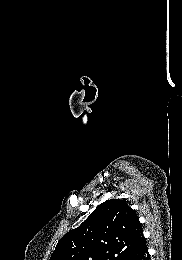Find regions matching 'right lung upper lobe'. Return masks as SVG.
Wrapping results in <instances>:
<instances>
[{"mask_svg":"<svg viewBox=\"0 0 182 260\" xmlns=\"http://www.w3.org/2000/svg\"><path fill=\"white\" fill-rule=\"evenodd\" d=\"M146 241L141 223L124 200H107L57 243L50 260H123Z\"/></svg>","mask_w":182,"mask_h":260,"instance_id":"obj_1","label":"right lung upper lobe"}]
</instances>
